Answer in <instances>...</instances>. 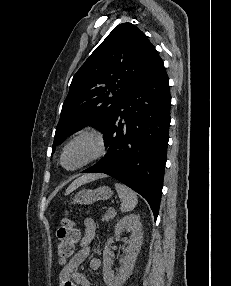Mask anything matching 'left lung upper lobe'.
Returning a JSON list of instances; mask_svg holds the SVG:
<instances>
[{"label":"left lung upper lobe","instance_id":"5c2ea615","mask_svg":"<svg viewBox=\"0 0 231 286\" xmlns=\"http://www.w3.org/2000/svg\"><path fill=\"white\" fill-rule=\"evenodd\" d=\"M145 34L130 23L118 25L74 75L56 128L57 142L86 125L104 131L125 93L160 60Z\"/></svg>","mask_w":231,"mask_h":286}]
</instances>
